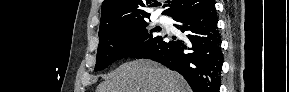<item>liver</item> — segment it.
Masks as SVG:
<instances>
[{"label":"liver","instance_id":"liver-1","mask_svg":"<svg viewBox=\"0 0 289 92\" xmlns=\"http://www.w3.org/2000/svg\"><path fill=\"white\" fill-rule=\"evenodd\" d=\"M96 92H190L184 78L148 60L124 63L105 77Z\"/></svg>","mask_w":289,"mask_h":92}]
</instances>
